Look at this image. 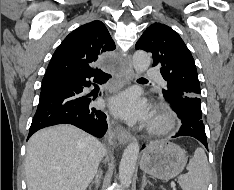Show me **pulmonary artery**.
I'll use <instances>...</instances> for the list:
<instances>
[{"label": "pulmonary artery", "mask_w": 234, "mask_h": 190, "mask_svg": "<svg viewBox=\"0 0 234 190\" xmlns=\"http://www.w3.org/2000/svg\"><path fill=\"white\" fill-rule=\"evenodd\" d=\"M146 76L148 78H155L164 84V81L160 78L158 71L155 68L149 67L145 70Z\"/></svg>", "instance_id": "pulmonary-artery-1"}]
</instances>
